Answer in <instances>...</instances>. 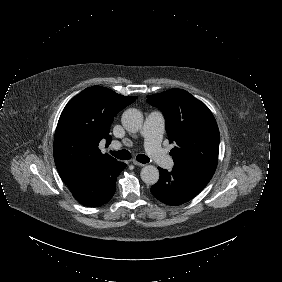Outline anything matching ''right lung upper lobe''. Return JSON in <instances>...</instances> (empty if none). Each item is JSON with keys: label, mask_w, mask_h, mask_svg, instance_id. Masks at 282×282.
Instances as JSON below:
<instances>
[{"label": "right lung upper lobe", "mask_w": 282, "mask_h": 282, "mask_svg": "<svg viewBox=\"0 0 282 282\" xmlns=\"http://www.w3.org/2000/svg\"><path fill=\"white\" fill-rule=\"evenodd\" d=\"M101 87H88L65 106L55 132L54 160L66 185L88 171L117 161L98 148L101 140L111 142L109 129L114 116L135 101Z\"/></svg>", "instance_id": "right-lung-upper-lobe-1"}]
</instances>
